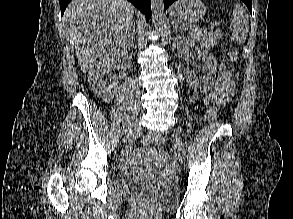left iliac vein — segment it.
I'll return each mask as SVG.
<instances>
[{
  "label": "left iliac vein",
  "instance_id": "1",
  "mask_svg": "<svg viewBox=\"0 0 293 219\" xmlns=\"http://www.w3.org/2000/svg\"><path fill=\"white\" fill-rule=\"evenodd\" d=\"M174 134H175V145L178 152V156L180 160L183 161L185 160V149H184V144L181 137V132L179 129H175Z\"/></svg>",
  "mask_w": 293,
  "mask_h": 219
}]
</instances>
